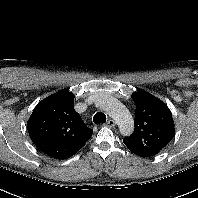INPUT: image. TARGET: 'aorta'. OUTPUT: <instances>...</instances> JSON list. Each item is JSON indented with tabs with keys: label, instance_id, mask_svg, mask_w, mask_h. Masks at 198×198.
<instances>
[{
	"label": "aorta",
	"instance_id": "1",
	"mask_svg": "<svg viewBox=\"0 0 198 198\" xmlns=\"http://www.w3.org/2000/svg\"><path fill=\"white\" fill-rule=\"evenodd\" d=\"M101 107L117 123L120 133L129 136L134 131V121L129 110L114 98L105 97L101 100Z\"/></svg>",
	"mask_w": 198,
	"mask_h": 198
}]
</instances>
